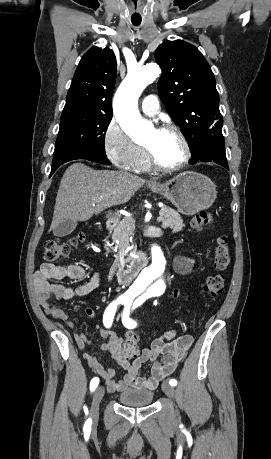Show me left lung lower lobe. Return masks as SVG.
I'll use <instances>...</instances> for the list:
<instances>
[{"label": "left lung lower lobe", "instance_id": "1", "mask_svg": "<svg viewBox=\"0 0 271 459\" xmlns=\"http://www.w3.org/2000/svg\"><path fill=\"white\" fill-rule=\"evenodd\" d=\"M198 161H213L226 169H229L225 154V143L224 136L222 135V128L212 131V133L207 137V146L204 153L198 160L191 161L190 164H194Z\"/></svg>", "mask_w": 271, "mask_h": 459}]
</instances>
